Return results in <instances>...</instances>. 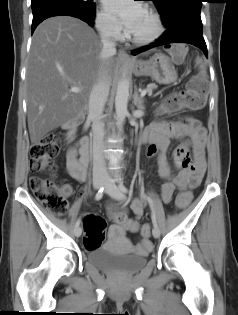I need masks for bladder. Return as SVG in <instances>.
<instances>
[{
  "mask_svg": "<svg viewBox=\"0 0 238 315\" xmlns=\"http://www.w3.org/2000/svg\"><path fill=\"white\" fill-rule=\"evenodd\" d=\"M109 248H90L87 250L86 260L95 267L118 274H133L143 268L149 254H137L128 256H109Z\"/></svg>",
  "mask_w": 238,
  "mask_h": 315,
  "instance_id": "obj_1",
  "label": "bladder"
}]
</instances>
